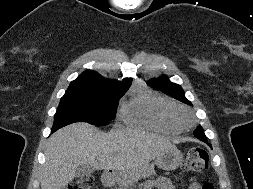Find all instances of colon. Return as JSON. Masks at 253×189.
Wrapping results in <instances>:
<instances>
[{
	"label": "colon",
	"instance_id": "5ec220e1",
	"mask_svg": "<svg viewBox=\"0 0 253 189\" xmlns=\"http://www.w3.org/2000/svg\"><path fill=\"white\" fill-rule=\"evenodd\" d=\"M208 152L201 147H194L189 150L183 162V170L187 172H201L208 168ZM94 177L92 175L83 176L69 183L65 189H92ZM202 189H214L211 182H205Z\"/></svg>",
	"mask_w": 253,
	"mask_h": 189
}]
</instances>
